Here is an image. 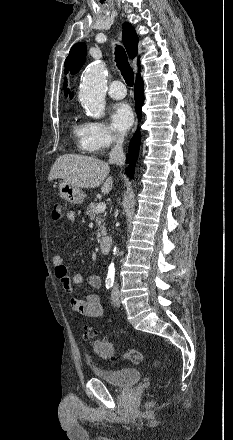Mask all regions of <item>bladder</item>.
<instances>
[{
  "mask_svg": "<svg viewBox=\"0 0 233 440\" xmlns=\"http://www.w3.org/2000/svg\"><path fill=\"white\" fill-rule=\"evenodd\" d=\"M95 377L115 387H129L135 385L141 378L140 371L136 368H119L114 370L91 367Z\"/></svg>",
  "mask_w": 233,
  "mask_h": 440,
  "instance_id": "bladder-1",
  "label": "bladder"
}]
</instances>
